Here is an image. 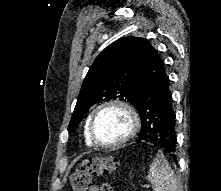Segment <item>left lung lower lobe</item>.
<instances>
[{
  "label": "left lung lower lobe",
  "instance_id": "obj_1",
  "mask_svg": "<svg viewBox=\"0 0 221 191\" xmlns=\"http://www.w3.org/2000/svg\"><path fill=\"white\" fill-rule=\"evenodd\" d=\"M135 107L141 117L137 142H149L176 160V115L164 62L148 43L135 84Z\"/></svg>",
  "mask_w": 221,
  "mask_h": 191
}]
</instances>
